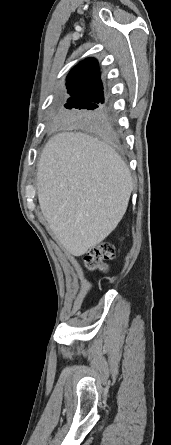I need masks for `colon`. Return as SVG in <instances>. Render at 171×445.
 Here are the masks:
<instances>
[{
    "mask_svg": "<svg viewBox=\"0 0 171 445\" xmlns=\"http://www.w3.org/2000/svg\"><path fill=\"white\" fill-rule=\"evenodd\" d=\"M114 255V247L110 244H101L85 255V264L90 269L103 268L102 261Z\"/></svg>",
    "mask_w": 171,
    "mask_h": 445,
    "instance_id": "obj_1",
    "label": "colon"
}]
</instances>
